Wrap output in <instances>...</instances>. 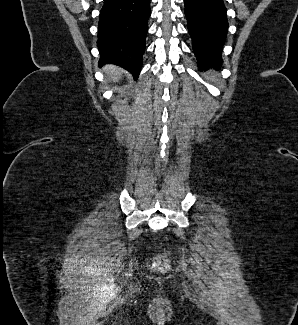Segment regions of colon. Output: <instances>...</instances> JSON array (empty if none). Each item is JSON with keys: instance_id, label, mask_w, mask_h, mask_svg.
<instances>
[{"instance_id": "obj_1", "label": "colon", "mask_w": 298, "mask_h": 325, "mask_svg": "<svg viewBox=\"0 0 298 325\" xmlns=\"http://www.w3.org/2000/svg\"><path fill=\"white\" fill-rule=\"evenodd\" d=\"M154 266L157 268V269H164L166 267V263L164 260H158L154 263Z\"/></svg>"}]
</instances>
